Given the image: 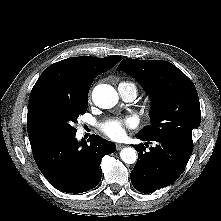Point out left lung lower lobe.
Instances as JSON below:
<instances>
[{"mask_svg": "<svg viewBox=\"0 0 221 221\" xmlns=\"http://www.w3.org/2000/svg\"><path fill=\"white\" fill-rule=\"evenodd\" d=\"M136 138L157 142L149 152L142 143L135 145L139 154L130 177L136 190L152 193L173 183L182 174L193 148L168 138H146L139 134Z\"/></svg>", "mask_w": 221, "mask_h": 221, "instance_id": "left-lung-lower-lobe-1", "label": "left lung lower lobe"}]
</instances>
